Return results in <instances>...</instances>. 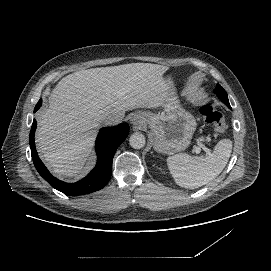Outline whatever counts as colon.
Returning <instances> with one entry per match:
<instances>
[{"mask_svg":"<svg viewBox=\"0 0 271 271\" xmlns=\"http://www.w3.org/2000/svg\"><path fill=\"white\" fill-rule=\"evenodd\" d=\"M202 119L213 126L214 130L223 134L227 129V124L225 122L224 116L216 110L212 105L205 104L199 109Z\"/></svg>","mask_w":271,"mask_h":271,"instance_id":"obj_1","label":"colon"}]
</instances>
